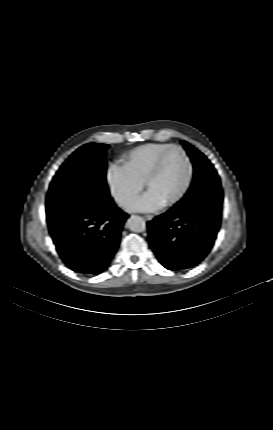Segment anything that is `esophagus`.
<instances>
[{
  "mask_svg": "<svg viewBox=\"0 0 273 430\" xmlns=\"http://www.w3.org/2000/svg\"><path fill=\"white\" fill-rule=\"evenodd\" d=\"M144 218L148 221H151L153 219V215H144Z\"/></svg>",
  "mask_w": 273,
  "mask_h": 430,
  "instance_id": "obj_1",
  "label": "esophagus"
}]
</instances>
